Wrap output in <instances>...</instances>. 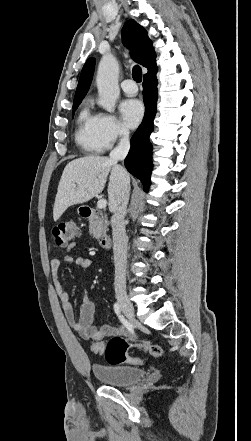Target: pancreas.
I'll return each instance as SVG.
<instances>
[{
    "label": "pancreas",
    "mask_w": 251,
    "mask_h": 441,
    "mask_svg": "<svg viewBox=\"0 0 251 441\" xmlns=\"http://www.w3.org/2000/svg\"><path fill=\"white\" fill-rule=\"evenodd\" d=\"M101 213H96V215L90 219L89 232L94 238L99 239L101 234L106 231L108 226L107 220L100 216Z\"/></svg>",
    "instance_id": "obj_1"
}]
</instances>
